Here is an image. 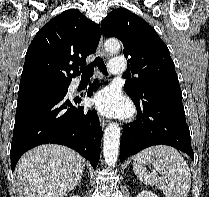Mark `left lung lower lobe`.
<instances>
[{
	"mask_svg": "<svg viewBox=\"0 0 209 197\" xmlns=\"http://www.w3.org/2000/svg\"><path fill=\"white\" fill-rule=\"evenodd\" d=\"M131 98L138 115L136 121L124 125L120 141L121 163L130 155L159 144L175 147L194 158L181 90L148 91Z\"/></svg>",
	"mask_w": 209,
	"mask_h": 197,
	"instance_id": "left-lung-lower-lobe-1",
	"label": "left lung lower lobe"
}]
</instances>
